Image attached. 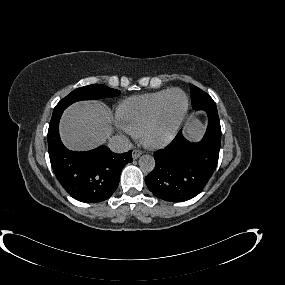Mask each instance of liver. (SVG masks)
I'll return each instance as SVG.
<instances>
[{
  "label": "liver",
  "mask_w": 285,
  "mask_h": 285,
  "mask_svg": "<svg viewBox=\"0 0 285 285\" xmlns=\"http://www.w3.org/2000/svg\"><path fill=\"white\" fill-rule=\"evenodd\" d=\"M113 114L102 102H79L68 107L60 121L63 143L72 150H89L104 143L112 134ZM187 133L192 139L202 133L196 120L187 123Z\"/></svg>",
  "instance_id": "obj_1"
}]
</instances>
